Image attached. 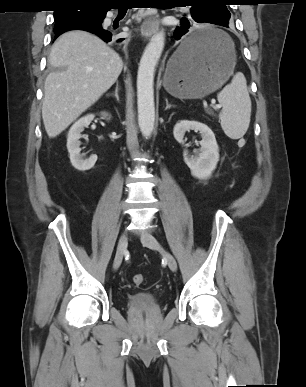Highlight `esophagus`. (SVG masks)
<instances>
[{
    "label": "esophagus",
    "mask_w": 306,
    "mask_h": 387,
    "mask_svg": "<svg viewBox=\"0 0 306 387\" xmlns=\"http://www.w3.org/2000/svg\"><path fill=\"white\" fill-rule=\"evenodd\" d=\"M148 16L141 25V34L144 38H150L157 30L158 13L156 9H148Z\"/></svg>",
    "instance_id": "1"
}]
</instances>
